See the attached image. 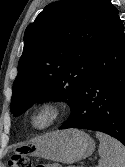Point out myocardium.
Instances as JSON below:
<instances>
[{
  "label": "myocardium",
  "instance_id": "obj_1",
  "mask_svg": "<svg viewBox=\"0 0 125 167\" xmlns=\"http://www.w3.org/2000/svg\"><path fill=\"white\" fill-rule=\"evenodd\" d=\"M63 108L59 101L46 99L37 104L29 114V123L36 130H46L62 116Z\"/></svg>",
  "mask_w": 125,
  "mask_h": 167
}]
</instances>
